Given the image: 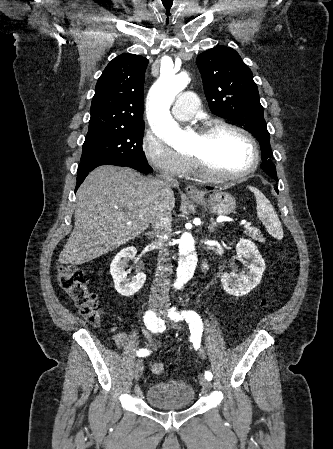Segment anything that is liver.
I'll return each instance as SVG.
<instances>
[{
	"label": "liver",
	"mask_w": 333,
	"mask_h": 449,
	"mask_svg": "<svg viewBox=\"0 0 333 449\" xmlns=\"http://www.w3.org/2000/svg\"><path fill=\"white\" fill-rule=\"evenodd\" d=\"M172 186L132 169L97 167L77 190L75 226L60 263L88 262L139 236L161 199L174 208Z\"/></svg>",
	"instance_id": "obj_1"
}]
</instances>
